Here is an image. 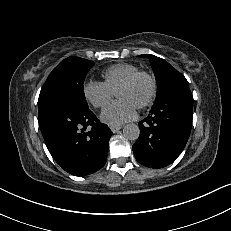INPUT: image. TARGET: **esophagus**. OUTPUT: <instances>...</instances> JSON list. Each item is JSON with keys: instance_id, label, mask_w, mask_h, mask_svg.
<instances>
[{"instance_id": "obj_1", "label": "esophagus", "mask_w": 231, "mask_h": 231, "mask_svg": "<svg viewBox=\"0 0 231 231\" xmlns=\"http://www.w3.org/2000/svg\"><path fill=\"white\" fill-rule=\"evenodd\" d=\"M122 128V126H111V131L113 133L118 132L120 129Z\"/></svg>"}]
</instances>
